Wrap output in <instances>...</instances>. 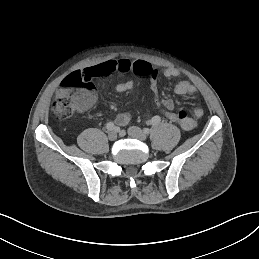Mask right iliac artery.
I'll return each mask as SVG.
<instances>
[{"mask_svg":"<svg viewBox=\"0 0 259 259\" xmlns=\"http://www.w3.org/2000/svg\"><path fill=\"white\" fill-rule=\"evenodd\" d=\"M106 128H107V130L112 131V130L116 129V126L114 125L113 122H109L106 124Z\"/></svg>","mask_w":259,"mask_h":259,"instance_id":"obj_1","label":"right iliac artery"}]
</instances>
